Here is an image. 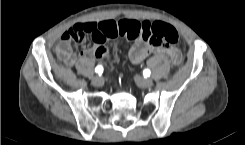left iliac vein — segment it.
I'll use <instances>...</instances> for the list:
<instances>
[{
    "instance_id": "left-iliac-vein-1",
    "label": "left iliac vein",
    "mask_w": 245,
    "mask_h": 145,
    "mask_svg": "<svg viewBox=\"0 0 245 145\" xmlns=\"http://www.w3.org/2000/svg\"><path fill=\"white\" fill-rule=\"evenodd\" d=\"M135 79L142 88H150L153 85L151 79H143L140 76H136Z\"/></svg>"
}]
</instances>
